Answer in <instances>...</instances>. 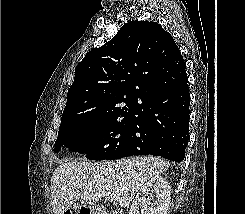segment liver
<instances>
[{
	"mask_svg": "<svg viewBox=\"0 0 245 214\" xmlns=\"http://www.w3.org/2000/svg\"><path fill=\"white\" fill-rule=\"evenodd\" d=\"M169 165L167 161L152 156L99 163H62L51 178L53 212L64 214L77 200L84 205L94 206L102 197L111 194L118 195L117 201L121 207H127L143 184L165 172ZM79 183L81 187L74 185Z\"/></svg>",
	"mask_w": 245,
	"mask_h": 214,
	"instance_id": "6515ba94",
	"label": "liver"
}]
</instances>
